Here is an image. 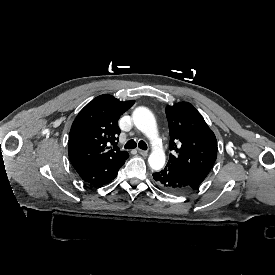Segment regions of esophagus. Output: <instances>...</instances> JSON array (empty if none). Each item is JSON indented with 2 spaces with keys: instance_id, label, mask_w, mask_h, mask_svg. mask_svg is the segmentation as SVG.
<instances>
[{
  "instance_id": "obj_1",
  "label": "esophagus",
  "mask_w": 275,
  "mask_h": 275,
  "mask_svg": "<svg viewBox=\"0 0 275 275\" xmlns=\"http://www.w3.org/2000/svg\"><path fill=\"white\" fill-rule=\"evenodd\" d=\"M139 154H141L142 156H147L148 152L142 149H138Z\"/></svg>"
}]
</instances>
